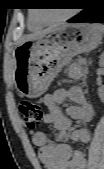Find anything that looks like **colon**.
<instances>
[{"mask_svg":"<svg viewBox=\"0 0 104 169\" xmlns=\"http://www.w3.org/2000/svg\"><path fill=\"white\" fill-rule=\"evenodd\" d=\"M18 109L26 127L29 130H34L39 125L43 116L41 105L23 100L19 102Z\"/></svg>","mask_w":104,"mask_h":169,"instance_id":"colon-1","label":"colon"}]
</instances>
